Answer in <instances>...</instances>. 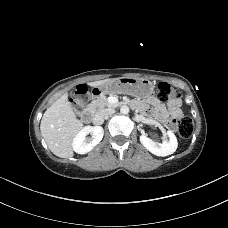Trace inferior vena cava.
<instances>
[{
    "mask_svg": "<svg viewBox=\"0 0 228 228\" xmlns=\"http://www.w3.org/2000/svg\"><path fill=\"white\" fill-rule=\"evenodd\" d=\"M114 112H115V110L113 108L99 112L98 114L95 115L94 122L95 123H102L104 118H106L109 115H112Z\"/></svg>",
    "mask_w": 228,
    "mask_h": 228,
    "instance_id": "1",
    "label": "inferior vena cava"
}]
</instances>
